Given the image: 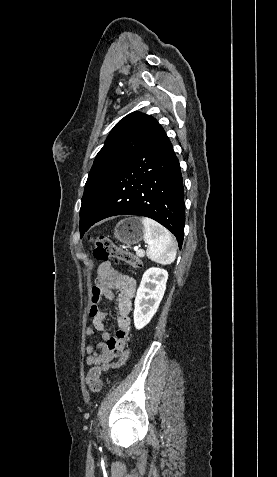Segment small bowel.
Listing matches in <instances>:
<instances>
[{
  "label": "small bowel",
  "mask_w": 277,
  "mask_h": 477,
  "mask_svg": "<svg viewBox=\"0 0 277 477\" xmlns=\"http://www.w3.org/2000/svg\"><path fill=\"white\" fill-rule=\"evenodd\" d=\"M136 285V280L133 277L116 271L108 260L99 265L89 306V315L93 327L85 329V336L92 337L95 330L99 331L102 342L96 346L90 344L85 346L86 364L88 366L98 367L103 372L110 368L119 367L127 360V348L131 338L130 312ZM115 291L118 292V330L116 335L112 336L104 325L107 313L99 308V303L102 297L108 300L114 299ZM117 356H120L119 361L112 363V359Z\"/></svg>",
  "instance_id": "c3829d8e"
}]
</instances>
